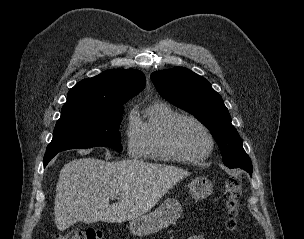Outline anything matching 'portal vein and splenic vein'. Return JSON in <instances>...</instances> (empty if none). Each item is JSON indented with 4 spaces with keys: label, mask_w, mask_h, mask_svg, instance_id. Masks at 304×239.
Here are the masks:
<instances>
[{
    "label": "portal vein and splenic vein",
    "mask_w": 304,
    "mask_h": 239,
    "mask_svg": "<svg viewBox=\"0 0 304 239\" xmlns=\"http://www.w3.org/2000/svg\"><path fill=\"white\" fill-rule=\"evenodd\" d=\"M111 197H112V198H118L117 195H112Z\"/></svg>",
    "instance_id": "portal-vein-and-splenic-vein-1"
}]
</instances>
